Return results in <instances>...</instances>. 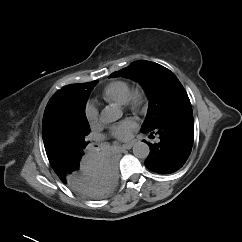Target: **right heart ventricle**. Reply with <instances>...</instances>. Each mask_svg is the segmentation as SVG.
<instances>
[{
  "label": "right heart ventricle",
  "mask_w": 242,
  "mask_h": 242,
  "mask_svg": "<svg viewBox=\"0 0 242 242\" xmlns=\"http://www.w3.org/2000/svg\"><path fill=\"white\" fill-rule=\"evenodd\" d=\"M130 85L127 81L116 80L105 86L102 91V97L107 102L123 105L126 101Z\"/></svg>",
  "instance_id": "e07e8e85"
}]
</instances>
